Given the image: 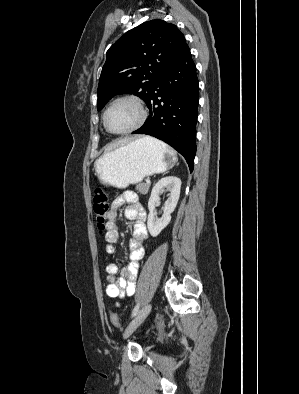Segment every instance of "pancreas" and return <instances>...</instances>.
<instances>
[{"label":"pancreas","instance_id":"pancreas-1","mask_svg":"<svg viewBox=\"0 0 299 394\" xmlns=\"http://www.w3.org/2000/svg\"><path fill=\"white\" fill-rule=\"evenodd\" d=\"M150 184L147 183H140L136 186V190L141 193L142 195H146L148 193Z\"/></svg>","mask_w":299,"mask_h":394}]
</instances>
